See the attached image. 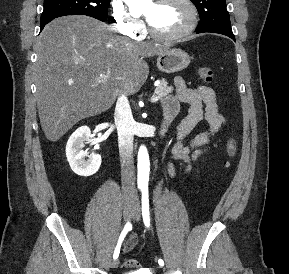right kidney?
Returning <instances> with one entry per match:
<instances>
[{
    "label": "right kidney",
    "mask_w": 289,
    "mask_h": 274,
    "mask_svg": "<svg viewBox=\"0 0 289 274\" xmlns=\"http://www.w3.org/2000/svg\"><path fill=\"white\" fill-rule=\"evenodd\" d=\"M91 140V131L88 126H81L68 139L66 145V157L74 173L80 176H91L95 174L101 165L99 154L88 155L83 150L84 144ZM88 157V159H85Z\"/></svg>",
    "instance_id": "right-kidney-1"
}]
</instances>
